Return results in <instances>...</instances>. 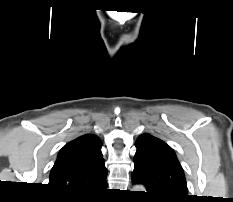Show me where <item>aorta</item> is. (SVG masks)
Returning <instances> with one entry per match:
<instances>
[{"mask_svg": "<svg viewBox=\"0 0 233 202\" xmlns=\"http://www.w3.org/2000/svg\"><path fill=\"white\" fill-rule=\"evenodd\" d=\"M133 189H134L133 191H143L144 187L138 185V186H135Z\"/></svg>", "mask_w": 233, "mask_h": 202, "instance_id": "762f6f07", "label": "aorta"}]
</instances>
